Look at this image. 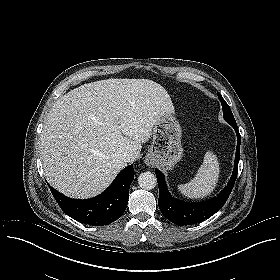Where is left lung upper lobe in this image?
<instances>
[{
	"mask_svg": "<svg viewBox=\"0 0 280 280\" xmlns=\"http://www.w3.org/2000/svg\"><path fill=\"white\" fill-rule=\"evenodd\" d=\"M218 98L222 104V109H223V117L224 119L230 124V125H237L236 121L234 119V116L232 114V111L229 107V105L226 103V101L223 99L220 93H217Z\"/></svg>",
	"mask_w": 280,
	"mask_h": 280,
	"instance_id": "obj_1",
	"label": "left lung upper lobe"
}]
</instances>
